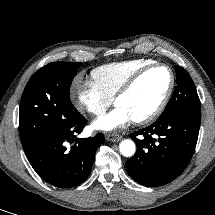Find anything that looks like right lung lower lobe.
I'll return each instance as SVG.
<instances>
[{
  "label": "right lung lower lobe",
  "mask_w": 215,
  "mask_h": 215,
  "mask_svg": "<svg viewBox=\"0 0 215 215\" xmlns=\"http://www.w3.org/2000/svg\"><path fill=\"white\" fill-rule=\"evenodd\" d=\"M85 124V118L80 115L68 126L24 149L31 166L43 180L59 188H70L88 177L104 135L99 133L95 137L77 138L71 149L66 148V143L74 142L75 134H80Z\"/></svg>",
  "instance_id": "obj_1"
}]
</instances>
